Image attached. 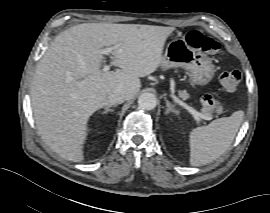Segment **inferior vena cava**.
I'll return each instance as SVG.
<instances>
[{"mask_svg":"<svg viewBox=\"0 0 270 213\" xmlns=\"http://www.w3.org/2000/svg\"><path fill=\"white\" fill-rule=\"evenodd\" d=\"M125 100H127L126 94L123 91L119 90V89L113 90L108 95V103H109V105L121 104Z\"/></svg>","mask_w":270,"mask_h":213,"instance_id":"1","label":"inferior vena cava"}]
</instances>
